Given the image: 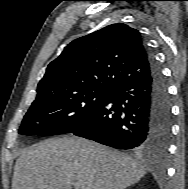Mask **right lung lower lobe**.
<instances>
[{"mask_svg": "<svg viewBox=\"0 0 188 189\" xmlns=\"http://www.w3.org/2000/svg\"><path fill=\"white\" fill-rule=\"evenodd\" d=\"M150 71L114 88L71 133L118 149L150 148L165 153L172 114L166 81L148 52Z\"/></svg>", "mask_w": 188, "mask_h": 189, "instance_id": "98d812e1", "label": "right lung lower lobe"}]
</instances>
